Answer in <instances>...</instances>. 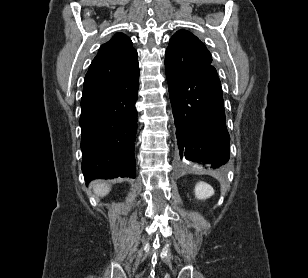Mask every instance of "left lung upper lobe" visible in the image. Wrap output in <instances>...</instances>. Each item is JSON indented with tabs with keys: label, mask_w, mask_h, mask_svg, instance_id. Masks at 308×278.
<instances>
[{
	"label": "left lung upper lobe",
	"mask_w": 308,
	"mask_h": 278,
	"mask_svg": "<svg viewBox=\"0 0 308 278\" xmlns=\"http://www.w3.org/2000/svg\"><path fill=\"white\" fill-rule=\"evenodd\" d=\"M212 57L206 46L191 32L179 30L166 49L165 68L178 72L211 65Z\"/></svg>",
	"instance_id": "1"
}]
</instances>
